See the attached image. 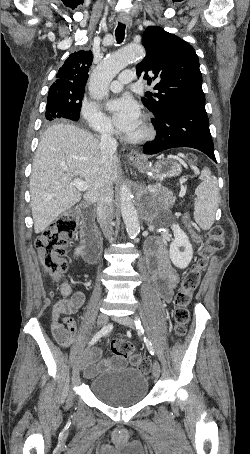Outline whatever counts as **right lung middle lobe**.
Listing matches in <instances>:
<instances>
[{"label": "right lung middle lobe", "instance_id": "1", "mask_svg": "<svg viewBox=\"0 0 250 454\" xmlns=\"http://www.w3.org/2000/svg\"><path fill=\"white\" fill-rule=\"evenodd\" d=\"M83 96L84 92L75 96H64L48 92L45 113L46 122L49 123L58 118L77 121L79 119Z\"/></svg>", "mask_w": 250, "mask_h": 454}]
</instances>
